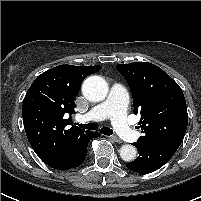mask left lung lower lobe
<instances>
[{"instance_id": "0a47b994", "label": "left lung lower lobe", "mask_w": 201, "mask_h": 201, "mask_svg": "<svg viewBox=\"0 0 201 201\" xmlns=\"http://www.w3.org/2000/svg\"><path fill=\"white\" fill-rule=\"evenodd\" d=\"M137 148L139 156L126 167L139 174L151 173L162 167L174 155L180 145L173 143L144 145L133 143Z\"/></svg>"}]
</instances>
